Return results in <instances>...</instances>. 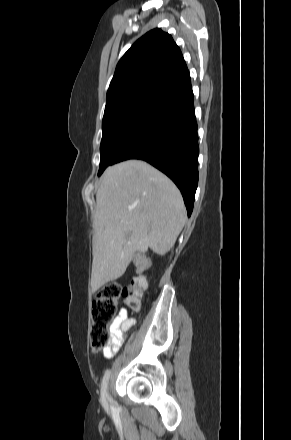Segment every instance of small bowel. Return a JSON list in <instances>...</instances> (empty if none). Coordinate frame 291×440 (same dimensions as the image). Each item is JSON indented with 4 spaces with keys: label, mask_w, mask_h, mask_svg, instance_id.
<instances>
[{
    "label": "small bowel",
    "mask_w": 291,
    "mask_h": 440,
    "mask_svg": "<svg viewBox=\"0 0 291 440\" xmlns=\"http://www.w3.org/2000/svg\"><path fill=\"white\" fill-rule=\"evenodd\" d=\"M136 323L135 318L130 317L125 308H121L117 317L109 327L110 344L104 349V356L111 358L117 351L123 341V333L132 328Z\"/></svg>",
    "instance_id": "1"
}]
</instances>
